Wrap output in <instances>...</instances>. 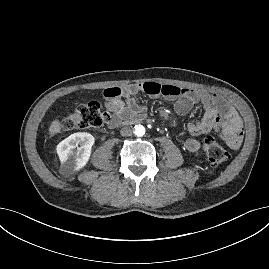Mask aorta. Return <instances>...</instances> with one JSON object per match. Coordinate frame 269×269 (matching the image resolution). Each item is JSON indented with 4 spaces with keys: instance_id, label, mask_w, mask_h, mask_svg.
Masks as SVG:
<instances>
[{
    "instance_id": "1",
    "label": "aorta",
    "mask_w": 269,
    "mask_h": 269,
    "mask_svg": "<svg viewBox=\"0 0 269 269\" xmlns=\"http://www.w3.org/2000/svg\"><path fill=\"white\" fill-rule=\"evenodd\" d=\"M134 133L137 135V136H143L145 134V127L142 126V125H136L134 127Z\"/></svg>"
}]
</instances>
